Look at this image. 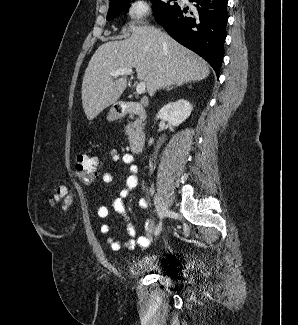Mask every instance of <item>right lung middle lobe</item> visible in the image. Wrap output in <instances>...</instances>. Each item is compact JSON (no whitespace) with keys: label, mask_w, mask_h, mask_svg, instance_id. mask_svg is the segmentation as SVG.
I'll use <instances>...</instances> for the list:
<instances>
[{"label":"right lung middle lobe","mask_w":298,"mask_h":325,"mask_svg":"<svg viewBox=\"0 0 298 325\" xmlns=\"http://www.w3.org/2000/svg\"><path fill=\"white\" fill-rule=\"evenodd\" d=\"M130 1L131 0H115L113 2H110L108 14H107V20H111L115 18L121 12H127L130 5ZM152 1L154 2L155 16H159L163 12L178 6L177 3H175L174 5H170L169 2H165L163 0H152Z\"/></svg>","instance_id":"dd1d6c3e"}]
</instances>
